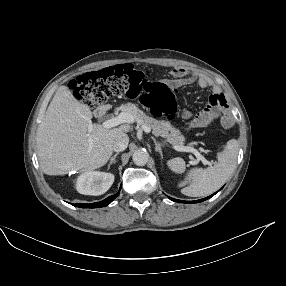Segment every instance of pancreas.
I'll return each instance as SVG.
<instances>
[{
	"mask_svg": "<svg viewBox=\"0 0 286 286\" xmlns=\"http://www.w3.org/2000/svg\"><path fill=\"white\" fill-rule=\"evenodd\" d=\"M119 110L131 114L139 126L150 127L155 135L165 138L170 144L174 146L183 145L184 136L181 135V132L174 128L169 122L151 118L136 107V105L131 103L122 105Z\"/></svg>",
	"mask_w": 286,
	"mask_h": 286,
	"instance_id": "obj_1",
	"label": "pancreas"
}]
</instances>
